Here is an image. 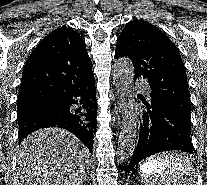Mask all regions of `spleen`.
<instances>
[{"label": "spleen", "mask_w": 207, "mask_h": 185, "mask_svg": "<svg viewBox=\"0 0 207 185\" xmlns=\"http://www.w3.org/2000/svg\"><path fill=\"white\" fill-rule=\"evenodd\" d=\"M182 151L153 153V158H143V167L153 174H143L142 183L149 185H194L195 171L193 158H179ZM178 158V159H175Z\"/></svg>", "instance_id": "3e777b00"}]
</instances>
